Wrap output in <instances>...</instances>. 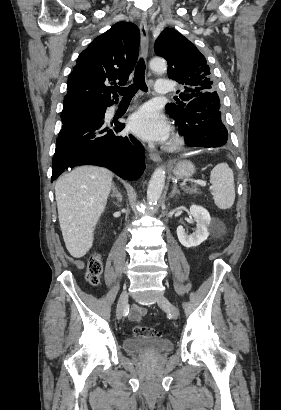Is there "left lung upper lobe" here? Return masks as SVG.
<instances>
[{
    "label": "left lung upper lobe",
    "instance_id": "left-lung-upper-lobe-1",
    "mask_svg": "<svg viewBox=\"0 0 281 410\" xmlns=\"http://www.w3.org/2000/svg\"><path fill=\"white\" fill-rule=\"evenodd\" d=\"M156 55L168 62V77L183 85L176 103L166 105L167 113L180 122L190 101L216 96L215 82L205 57L196 46L172 28H165L154 44Z\"/></svg>",
    "mask_w": 281,
    "mask_h": 410
}]
</instances>
